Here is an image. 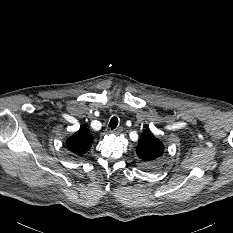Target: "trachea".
<instances>
[{"mask_svg":"<svg viewBox=\"0 0 233 233\" xmlns=\"http://www.w3.org/2000/svg\"><path fill=\"white\" fill-rule=\"evenodd\" d=\"M118 125V118L116 116H113L110 120L109 127L113 130Z\"/></svg>","mask_w":233,"mask_h":233,"instance_id":"3493384b","label":"trachea"}]
</instances>
